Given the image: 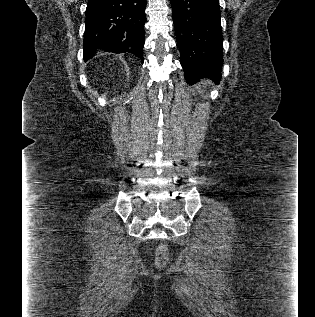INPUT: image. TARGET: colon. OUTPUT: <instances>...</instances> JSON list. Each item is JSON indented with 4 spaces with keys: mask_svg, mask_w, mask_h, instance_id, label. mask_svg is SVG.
<instances>
[{
    "mask_svg": "<svg viewBox=\"0 0 315 317\" xmlns=\"http://www.w3.org/2000/svg\"><path fill=\"white\" fill-rule=\"evenodd\" d=\"M169 252L165 245L158 247L156 251V264L160 267L164 266L168 261Z\"/></svg>",
    "mask_w": 315,
    "mask_h": 317,
    "instance_id": "colon-1",
    "label": "colon"
}]
</instances>
